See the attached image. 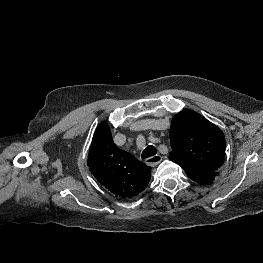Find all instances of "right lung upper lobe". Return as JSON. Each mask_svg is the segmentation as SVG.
Masks as SVG:
<instances>
[{
  "label": "right lung upper lobe",
  "instance_id": "obj_1",
  "mask_svg": "<svg viewBox=\"0 0 263 263\" xmlns=\"http://www.w3.org/2000/svg\"><path fill=\"white\" fill-rule=\"evenodd\" d=\"M87 164L97 181L121 198L139 194L151 178L150 167L114 144L107 122L95 130Z\"/></svg>",
  "mask_w": 263,
  "mask_h": 263
}]
</instances>
